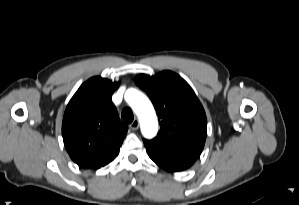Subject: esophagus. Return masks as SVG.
I'll use <instances>...</instances> for the list:
<instances>
[{
  "mask_svg": "<svg viewBox=\"0 0 299 205\" xmlns=\"http://www.w3.org/2000/svg\"><path fill=\"white\" fill-rule=\"evenodd\" d=\"M139 128V121L138 119H134L133 122L130 124L131 130H137Z\"/></svg>",
  "mask_w": 299,
  "mask_h": 205,
  "instance_id": "1",
  "label": "esophagus"
}]
</instances>
